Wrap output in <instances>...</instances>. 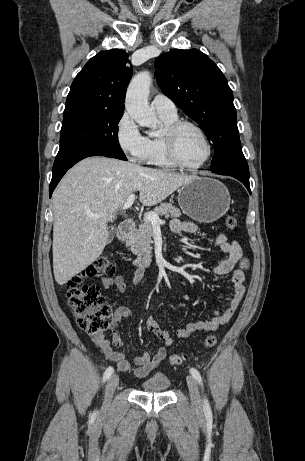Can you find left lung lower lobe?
I'll return each instance as SVG.
<instances>
[{
	"label": "left lung lower lobe",
	"mask_w": 305,
	"mask_h": 461,
	"mask_svg": "<svg viewBox=\"0 0 305 461\" xmlns=\"http://www.w3.org/2000/svg\"><path fill=\"white\" fill-rule=\"evenodd\" d=\"M222 175H230L236 179H238L239 181H241L245 187L248 189L249 193L251 194V190H250V184H249V175H243V174H239V173H222Z\"/></svg>",
	"instance_id": "left-lung-lower-lobe-1"
}]
</instances>
